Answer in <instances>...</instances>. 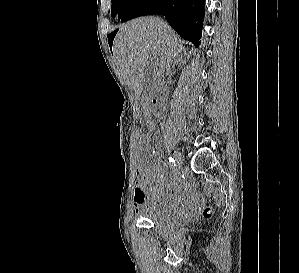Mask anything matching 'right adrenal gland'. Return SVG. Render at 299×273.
Instances as JSON below:
<instances>
[{
    "label": "right adrenal gland",
    "mask_w": 299,
    "mask_h": 273,
    "mask_svg": "<svg viewBox=\"0 0 299 273\" xmlns=\"http://www.w3.org/2000/svg\"><path fill=\"white\" fill-rule=\"evenodd\" d=\"M184 55H187V53L185 52ZM181 59H182V54L177 56V58L174 60L173 66H172L173 69L179 62H181Z\"/></svg>",
    "instance_id": "right-adrenal-gland-1"
}]
</instances>
